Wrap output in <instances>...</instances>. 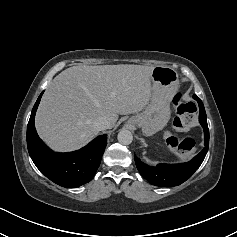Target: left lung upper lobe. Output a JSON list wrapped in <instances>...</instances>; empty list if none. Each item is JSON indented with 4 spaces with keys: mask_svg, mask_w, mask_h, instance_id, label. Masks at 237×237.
Wrapping results in <instances>:
<instances>
[{
    "mask_svg": "<svg viewBox=\"0 0 237 237\" xmlns=\"http://www.w3.org/2000/svg\"><path fill=\"white\" fill-rule=\"evenodd\" d=\"M194 99L198 102V104H199V109H200V107H203V108H204V105H203V103H202V101L200 100L199 97L194 98Z\"/></svg>",
    "mask_w": 237,
    "mask_h": 237,
    "instance_id": "5c2ea615",
    "label": "left lung upper lobe"
}]
</instances>
